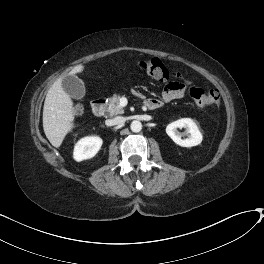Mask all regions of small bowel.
<instances>
[{
  "mask_svg": "<svg viewBox=\"0 0 264 264\" xmlns=\"http://www.w3.org/2000/svg\"><path fill=\"white\" fill-rule=\"evenodd\" d=\"M135 95L143 99L142 93L139 91L135 92ZM184 96L183 88L177 82H169L162 93L160 98H147L142 102L143 107L149 110H155L164 105L165 102L180 99Z\"/></svg>",
  "mask_w": 264,
  "mask_h": 264,
  "instance_id": "small-bowel-1",
  "label": "small bowel"
}]
</instances>
